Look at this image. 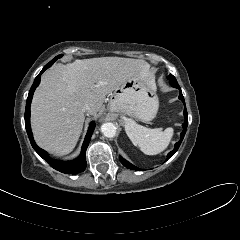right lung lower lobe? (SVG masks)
Here are the masks:
<instances>
[{
    "mask_svg": "<svg viewBox=\"0 0 240 240\" xmlns=\"http://www.w3.org/2000/svg\"><path fill=\"white\" fill-rule=\"evenodd\" d=\"M54 62H55V60H52L44 66L42 71L36 77L32 87L29 91L27 102H26V110H25V127H26V131H27V134H28V137L30 139L32 147L44 160H46L50 164L51 167H53L54 169H56V170H58L62 173H65V174H77V173L83 172L85 170L86 166H87V163H86V149L88 147V144L90 142L93 130L95 128V123L94 122L90 123L87 134L85 136V140H84L83 145H82V150H81L80 156L78 158H76L75 160L69 161V162H60V161H56V160L50 158L46 151L39 148L35 144V142L33 140L32 132H31V127H30V104H31L32 96H33V93H34L36 87L40 83L41 74L47 68H49Z\"/></svg>",
    "mask_w": 240,
    "mask_h": 240,
    "instance_id": "98d812e1",
    "label": "right lung lower lobe"
}]
</instances>
